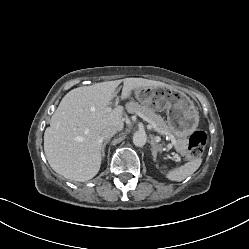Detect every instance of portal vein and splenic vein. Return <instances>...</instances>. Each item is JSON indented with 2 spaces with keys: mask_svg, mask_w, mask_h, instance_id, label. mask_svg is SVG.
<instances>
[{
  "mask_svg": "<svg viewBox=\"0 0 249 249\" xmlns=\"http://www.w3.org/2000/svg\"><path fill=\"white\" fill-rule=\"evenodd\" d=\"M137 115H138L139 117H141L144 121L150 123V124L152 125L153 128H156V124H154L149 118H147L146 116H144V115L141 114V113H137ZM160 133H162V134H167V133H164V132H160ZM170 140H171V146H176V143H177V142H176V140L174 139V137H171Z\"/></svg>",
  "mask_w": 249,
  "mask_h": 249,
  "instance_id": "portal-vein-and-splenic-vein-1",
  "label": "portal vein and splenic vein"
}]
</instances>
